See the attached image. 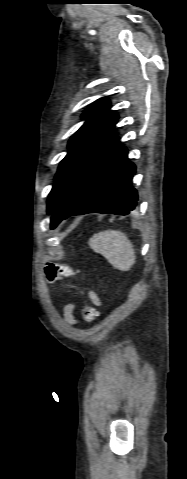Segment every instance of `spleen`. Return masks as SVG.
<instances>
[{"mask_svg":"<svg viewBox=\"0 0 187 479\" xmlns=\"http://www.w3.org/2000/svg\"><path fill=\"white\" fill-rule=\"evenodd\" d=\"M89 246L103 255L108 262L120 271H128L135 263V251L128 237L121 231L105 230L94 234Z\"/></svg>","mask_w":187,"mask_h":479,"instance_id":"obj_1","label":"spleen"}]
</instances>
